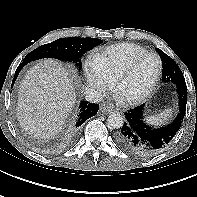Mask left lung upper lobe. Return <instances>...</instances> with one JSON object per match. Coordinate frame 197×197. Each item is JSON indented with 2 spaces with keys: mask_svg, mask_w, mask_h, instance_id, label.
<instances>
[{
  "mask_svg": "<svg viewBox=\"0 0 197 197\" xmlns=\"http://www.w3.org/2000/svg\"><path fill=\"white\" fill-rule=\"evenodd\" d=\"M163 64L162 81L172 82L176 85L186 84L179 66L162 50L157 49Z\"/></svg>",
  "mask_w": 197,
  "mask_h": 197,
  "instance_id": "5c2ea615",
  "label": "left lung upper lobe"
}]
</instances>
